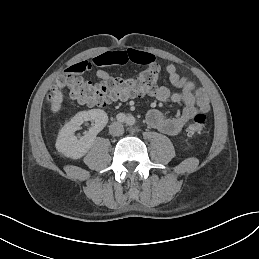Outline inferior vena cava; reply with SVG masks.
<instances>
[{
    "label": "inferior vena cava",
    "mask_w": 259,
    "mask_h": 259,
    "mask_svg": "<svg viewBox=\"0 0 259 259\" xmlns=\"http://www.w3.org/2000/svg\"><path fill=\"white\" fill-rule=\"evenodd\" d=\"M109 132L111 135L113 136H118L124 133V128L123 125L119 122H113L110 126H109Z\"/></svg>",
    "instance_id": "602c4592"
}]
</instances>
